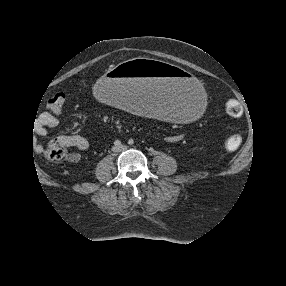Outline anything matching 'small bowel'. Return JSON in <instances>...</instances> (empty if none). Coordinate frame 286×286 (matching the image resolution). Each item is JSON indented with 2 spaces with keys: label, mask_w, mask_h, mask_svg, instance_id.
Wrapping results in <instances>:
<instances>
[{
  "label": "small bowel",
  "mask_w": 286,
  "mask_h": 286,
  "mask_svg": "<svg viewBox=\"0 0 286 286\" xmlns=\"http://www.w3.org/2000/svg\"><path fill=\"white\" fill-rule=\"evenodd\" d=\"M58 119L49 114V113H43L40 119V124L37 127L36 131L37 133L44 137L47 135V129L53 128L57 126ZM181 139V134H171L167 136L166 141L168 143H176ZM58 141L62 143L64 146L69 148H75L79 150H87L89 148V141L80 135H63L58 137ZM37 149H40L39 146H37ZM71 160H77L78 155L72 154L70 157Z\"/></svg>",
  "instance_id": "obj_1"
}]
</instances>
